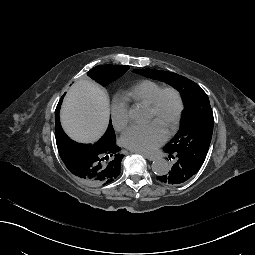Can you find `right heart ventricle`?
Returning a JSON list of instances; mask_svg holds the SVG:
<instances>
[{
  "label": "right heart ventricle",
  "instance_id": "right-heart-ventricle-1",
  "mask_svg": "<svg viewBox=\"0 0 255 255\" xmlns=\"http://www.w3.org/2000/svg\"><path fill=\"white\" fill-rule=\"evenodd\" d=\"M161 87L162 85L155 81L143 80L122 96V103L125 106L135 102H142L148 105Z\"/></svg>",
  "mask_w": 255,
  "mask_h": 255
}]
</instances>
